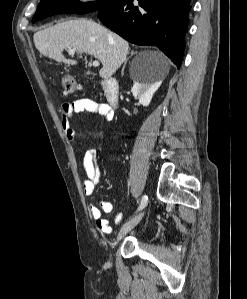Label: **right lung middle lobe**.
<instances>
[{
	"label": "right lung middle lobe",
	"mask_w": 247,
	"mask_h": 299,
	"mask_svg": "<svg viewBox=\"0 0 247 299\" xmlns=\"http://www.w3.org/2000/svg\"><path fill=\"white\" fill-rule=\"evenodd\" d=\"M117 1L119 0H98L97 2L81 3L78 0H41L32 22L35 23L55 14H86Z\"/></svg>",
	"instance_id": "dd1d6c3e"
}]
</instances>
